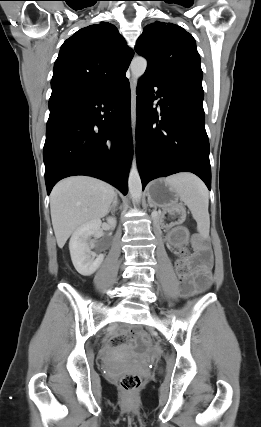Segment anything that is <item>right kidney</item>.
Wrapping results in <instances>:
<instances>
[{"instance_id":"obj_1","label":"right kidney","mask_w":261,"mask_h":427,"mask_svg":"<svg viewBox=\"0 0 261 427\" xmlns=\"http://www.w3.org/2000/svg\"><path fill=\"white\" fill-rule=\"evenodd\" d=\"M108 227L114 229L116 219L107 218ZM101 220H93L78 227L69 242L71 259L75 269L84 276H90L96 272L104 260V255H97L89 248L88 241L91 236L99 237L101 235Z\"/></svg>"}]
</instances>
